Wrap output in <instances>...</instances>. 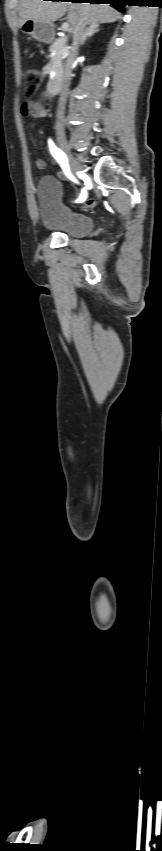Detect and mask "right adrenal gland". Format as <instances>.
I'll use <instances>...</instances> for the list:
<instances>
[{"instance_id":"obj_1","label":"right adrenal gland","mask_w":162,"mask_h":851,"mask_svg":"<svg viewBox=\"0 0 162 851\" xmlns=\"http://www.w3.org/2000/svg\"><path fill=\"white\" fill-rule=\"evenodd\" d=\"M98 28H99L98 24L89 25L85 30L81 44L83 45L85 43V41L87 40V38H89V37L93 36L95 33L99 32Z\"/></svg>"}]
</instances>
